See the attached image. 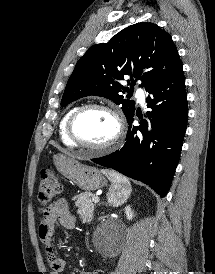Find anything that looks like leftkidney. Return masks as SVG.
Listing matches in <instances>:
<instances>
[{"label": "left kidney", "instance_id": "1", "mask_svg": "<svg viewBox=\"0 0 215 274\" xmlns=\"http://www.w3.org/2000/svg\"><path fill=\"white\" fill-rule=\"evenodd\" d=\"M125 214H126L128 220H132V218L134 217L133 211L131 210L130 206H127L125 208Z\"/></svg>", "mask_w": 215, "mask_h": 274}]
</instances>
